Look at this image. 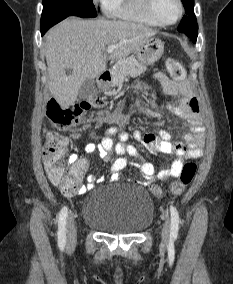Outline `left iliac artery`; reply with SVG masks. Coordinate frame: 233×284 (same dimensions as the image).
<instances>
[{"mask_svg":"<svg viewBox=\"0 0 233 284\" xmlns=\"http://www.w3.org/2000/svg\"><path fill=\"white\" fill-rule=\"evenodd\" d=\"M170 214H171V232L170 236L173 239L177 238L178 230H179V214L177 209L174 206L170 207Z\"/></svg>","mask_w":233,"mask_h":284,"instance_id":"44dca946","label":"left iliac artery"}]
</instances>
